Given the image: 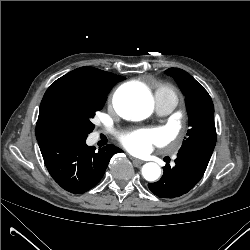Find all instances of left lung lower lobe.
<instances>
[{
	"instance_id": "obj_1",
	"label": "left lung lower lobe",
	"mask_w": 250,
	"mask_h": 250,
	"mask_svg": "<svg viewBox=\"0 0 250 250\" xmlns=\"http://www.w3.org/2000/svg\"><path fill=\"white\" fill-rule=\"evenodd\" d=\"M214 147L215 142H208L181 149L175 167L166 164L161 179L148 184L149 189L161 198H175L187 193L202 178Z\"/></svg>"
}]
</instances>
